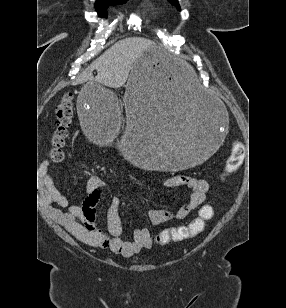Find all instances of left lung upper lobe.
<instances>
[{"label":"left lung upper lobe","mask_w":286,"mask_h":308,"mask_svg":"<svg viewBox=\"0 0 286 308\" xmlns=\"http://www.w3.org/2000/svg\"><path fill=\"white\" fill-rule=\"evenodd\" d=\"M171 4L175 5L178 9H180L179 3L177 0H168Z\"/></svg>","instance_id":"1"}]
</instances>
